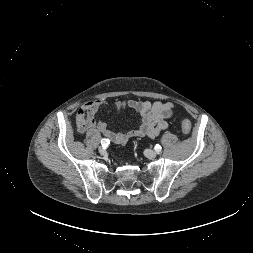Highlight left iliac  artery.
I'll use <instances>...</instances> for the list:
<instances>
[{"instance_id": "left-iliac-artery-1", "label": "left iliac artery", "mask_w": 253, "mask_h": 253, "mask_svg": "<svg viewBox=\"0 0 253 253\" xmlns=\"http://www.w3.org/2000/svg\"><path fill=\"white\" fill-rule=\"evenodd\" d=\"M155 151H156L157 153H159V152L161 151V146H160L159 144H157V145L155 146Z\"/></svg>"}]
</instances>
